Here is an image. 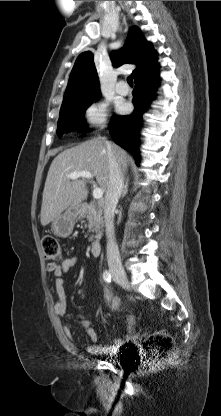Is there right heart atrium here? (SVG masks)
Wrapping results in <instances>:
<instances>
[{"instance_id":"obj_1","label":"right heart atrium","mask_w":221,"mask_h":416,"mask_svg":"<svg viewBox=\"0 0 221 416\" xmlns=\"http://www.w3.org/2000/svg\"><path fill=\"white\" fill-rule=\"evenodd\" d=\"M84 122L87 128L97 129L105 125L108 117V106L105 102H91L84 111Z\"/></svg>"}]
</instances>
